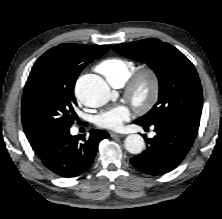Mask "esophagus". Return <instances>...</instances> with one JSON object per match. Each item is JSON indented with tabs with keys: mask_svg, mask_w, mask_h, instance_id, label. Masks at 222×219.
Wrapping results in <instances>:
<instances>
[{
	"mask_svg": "<svg viewBox=\"0 0 222 219\" xmlns=\"http://www.w3.org/2000/svg\"><path fill=\"white\" fill-rule=\"evenodd\" d=\"M110 136L111 137H122L123 134H119V133H116V132H110Z\"/></svg>",
	"mask_w": 222,
	"mask_h": 219,
	"instance_id": "34e87169",
	"label": "esophagus"
}]
</instances>
